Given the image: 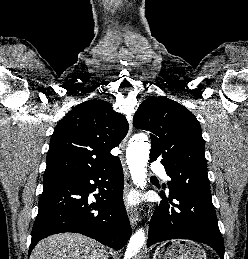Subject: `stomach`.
I'll list each match as a JSON object with an SVG mask.
<instances>
[{
    "mask_svg": "<svg viewBox=\"0 0 248 259\" xmlns=\"http://www.w3.org/2000/svg\"><path fill=\"white\" fill-rule=\"evenodd\" d=\"M153 259H207L204 249L197 243L184 240H170L161 244L153 253Z\"/></svg>",
    "mask_w": 248,
    "mask_h": 259,
    "instance_id": "obj_1",
    "label": "stomach"
}]
</instances>
